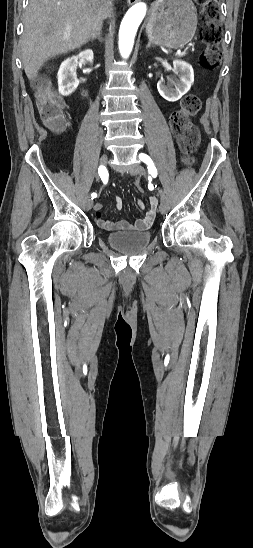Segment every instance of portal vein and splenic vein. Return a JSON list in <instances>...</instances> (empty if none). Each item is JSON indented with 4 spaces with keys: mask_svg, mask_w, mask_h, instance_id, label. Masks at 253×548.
Returning <instances> with one entry per match:
<instances>
[{
    "mask_svg": "<svg viewBox=\"0 0 253 548\" xmlns=\"http://www.w3.org/2000/svg\"><path fill=\"white\" fill-rule=\"evenodd\" d=\"M185 52H186V50H184L183 52L178 51L177 54H178V55H184Z\"/></svg>",
    "mask_w": 253,
    "mask_h": 548,
    "instance_id": "obj_1",
    "label": "portal vein and splenic vein"
}]
</instances>
